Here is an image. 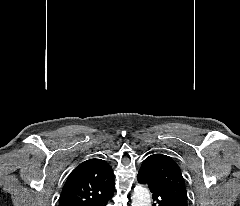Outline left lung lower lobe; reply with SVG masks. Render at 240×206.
<instances>
[{"label":"left lung lower lobe","instance_id":"left-lung-lower-lobe-1","mask_svg":"<svg viewBox=\"0 0 240 206\" xmlns=\"http://www.w3.org/2000/svg\"><path fill=\"white\" fill-rule=\"evenodd\" d=\"M137 179L139 183L147 184L150 188L154 201L153 206H176L164 191L155 184L145 168H140Z\"/></svg>","mask_w":240,"mask_h":206}]
</instances>
